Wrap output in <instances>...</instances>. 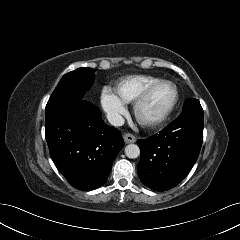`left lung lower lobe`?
Masks as SVG:
<instances>
[{
  "label": "left lung lower lobe",
  "mask_w": 240,
  "mask_h": 240,
  "mask_svg": "<svg viewBox=\"0 0 240 240\" xmlns=\"http://www.w3.org/2000/svg\"><path fill=\"white\" fill-rule=\"evenodd\" d=\"M203 125L201 105H191L159 134L138 140L141 182L156 191L169 190L181 182L198 158Z\"/></svg>",
  "instance_id": "obj_1"
}]
</instances>
